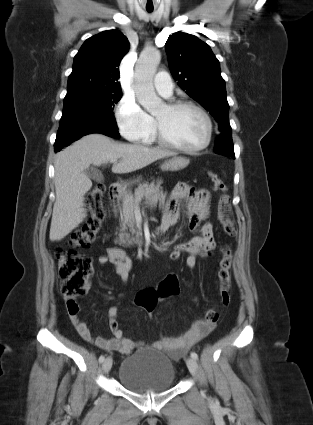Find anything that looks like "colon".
Segmentation results:
<instances>
[{"mask_svg": "<svg viewBox=\"0 0 313 425\" xmlns=\"http://www.w3.org/2000/svg\"><path fill=\"white\" fill-rule=\"evenodd\" d=\"M213 182L214 190L219 193L218 219L228 236L235 234L234 223L230 215V197L228 189L223 180L214 172H208ZM105 188L96 185L90 193V216L85 224L76 230L67 242V246L58 248L56 257L58 270L62 279V294L72 309L76 307V299L83 296L87 291L88 281L93 273L91 259L78 250L87 248L96 239L101 229L105 209L103 204ZM213 248L204 250L203 255L210 256ZM221 259L219 261L217 277L220 288V300L222 306L230 303L232 253L229 245L220 246ZM180 282L176 275H168L157 287L147 288L136 295V305L147 313H152L159 301L176 296L180 293ZM220 318V313L211 309L207 311L204 321L215 326Z\"/></svg>", "mask_w": 313, "mask_h": 425, "instance_id": "colon-1", "label": "colon"}]
</instances>
